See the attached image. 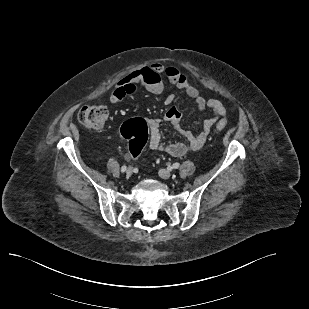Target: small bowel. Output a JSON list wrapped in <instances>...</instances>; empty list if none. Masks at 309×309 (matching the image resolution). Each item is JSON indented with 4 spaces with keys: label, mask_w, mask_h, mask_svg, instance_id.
<instances>
[{
    "label": "small bowel",
    "mask_w": 309,
    "mask_h": 309,
    "mask_svg": "<svg viewBox=\"0 0 309 309\" xmlns=\"http://www.w3.org/2000/svg\"><path fill=\"white\" fill-rule=\"evenodd\" d=\"M163 77L173 84L177 89L183 90L196 104L198 109L208 108L212 116L205 119L202 129L197 134L185 132L180 129L181 113L175 107H170L162 119L149 118L146 123L149 130V145L153 150L166 152L172 156H182L187 152L199 150L206 142L208 135L214 125L224 116L227 111L223 103L218 99H205L198 88L192 85L187 77L175 67H168L162 64H152L147 67L135 70L121 78L115 85L109 96V102L117 104L126 96L136 91L137 85L143 86L153 94H161L164 91ZM173 98L169 96L166 101L171 103ZM165 121L172 125L174 131L181 140L165 142L160 128L161 122ZM130 154L126 155L129 159Z\"/></svg>",
    "instance_id": "1"
}]
</instances>
